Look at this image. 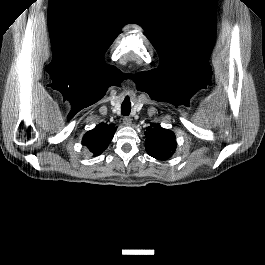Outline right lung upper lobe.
Returning a JSON list of instances; mask_svg holds the SVG:
<instances>
[{
    "label": "right lung upper lobe",
    "instance_id": "1",
    "mask_svg": "<svg viewBox=\"0 0 265 265\" xmlns=\"http://www.w3.org/2000/svg\"><path fill=\"white\" fill-rule=\"evenodd\" d=\"M116 129L114 124L100 123L84 135L82 145L86 146L94 156H98L108 147Z\"/></svg>",
    "mask_w": 265,
    "mask_h": 265
}]
</instances>
